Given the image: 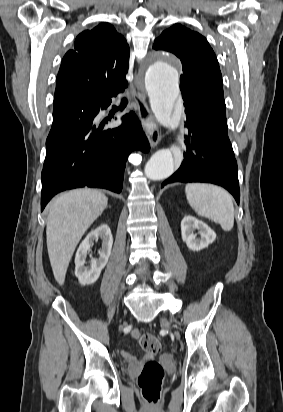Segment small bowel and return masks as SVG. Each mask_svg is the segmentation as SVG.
I'll use <instances>...</instances> for the list:
<instances>
[{
  "label": "small bowel",
  "mask_w": 283,
  "mask_h": 412,
  "mask_svg": "<svg viewBox=\"0 0 283 412\" xmlns=\"http://www.w3.org/2000/svg\"><path fill=\"white\" fill-rule=\"evenodd\" d=\"M139 335H140V332L138 330H133L131 332V336L134 337V338H138ZM121 355L124 359H126L128 361H133L134 360V356L126 350H122Z\"/></svg>",
  "instance_id": "c3829d8e"
}]
</instances>
